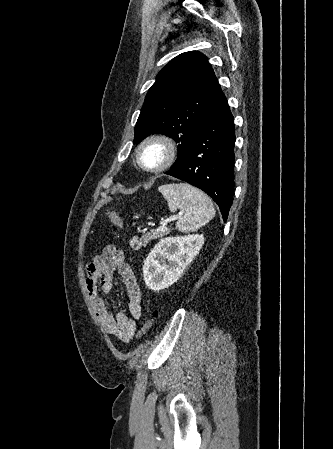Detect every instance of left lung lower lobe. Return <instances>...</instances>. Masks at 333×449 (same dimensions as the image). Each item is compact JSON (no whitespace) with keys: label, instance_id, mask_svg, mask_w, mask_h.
Masks as SVG:
<instances>
[{"label":"left lung lower lobe","instance_id":"0a47b994","mask_svg":"<svg viewBox=\"0 0 333 449\" xmlns=\"http://www.w3.org/2000/svg\"><path fill=\"white\" fill-rule=\"evenodd\" d=\"M234 144V118L222 92L194 134L182 165L165 173L206 192L224 221L233 201Z\"/></svg>","mask_w":333,"mask_h":449}]
</instances>
